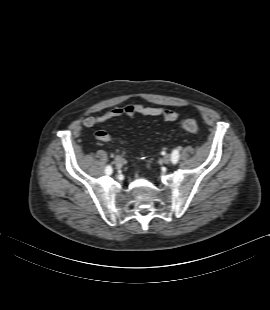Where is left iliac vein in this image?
I'll return each mask as SVG.
<instances>
[{
    "label": "left iliac vein",
    "mask_w": 270,
    "mask_h": 310,
    "mask_svg": "<svg viewBox=\"0 0 270 310\" xmlns=\"http://www.w3.org/2000/svg\"><path fill=\"white\" fill-rule=\"evenodd\" d=\"M163 162L165 164H169L171 162V156L170 155H165L164 158H163Z\"/></svg>",
    "instance_id": "4c4485c4"
}]
</instances>
